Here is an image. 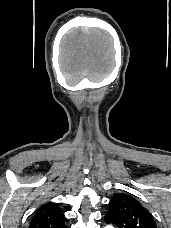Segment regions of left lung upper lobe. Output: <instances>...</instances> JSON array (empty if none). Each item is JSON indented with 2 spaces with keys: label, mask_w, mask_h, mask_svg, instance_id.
<instances>
[{
  "label": "left lung upper lobe",
  "mask_w": 171,
  "mask_h": 228,
  "mask_svg": "<svg viewBox=\"0 0 171 228\" xmlns=\"http://www.w3.org/2000/svg\"><path fill=\"white\" fill-rule=\"evenodd\" d=\"M105 220L118 228H157L149 211L125 193H116L113 196Z\"/></svg>",
  "instance_id": "left-lung-upper-lobe-1"
}]
</instances>
